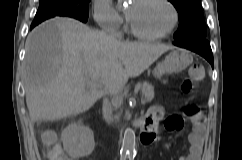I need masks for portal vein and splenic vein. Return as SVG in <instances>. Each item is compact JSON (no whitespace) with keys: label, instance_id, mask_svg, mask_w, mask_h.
I'll return each instance as SVG.
<instances>
[{"label":"portal vein and splenic vein","instance_id":"1","mask_svg":"<svg viewBox=\"0 0 242 160\" xmlns=\"http://www.w3.org/2000/svg\"><path fill=\"white\" fill-rule=\"evenodd\" d=\"M87 81V84L89 85V86H92V87H99V84L96 82V81H94V80H92V79H87L86 80ZM141 104H145V100L144 99H141Z\"/></svg>","mask_w":242,"mask_h":160}]
</instances>
